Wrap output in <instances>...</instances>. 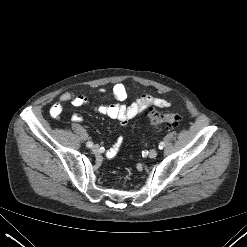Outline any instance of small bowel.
<instances>
[{"label":"small bowel","mask_w":247,"mask_h":247,"mask_svg":"<svg viewBox=\"0 0 247 247\" xmlns=\"http://www.w3.org/2000/svg\"><path fill=\"white\" fill-rule=\"evenodd\" d=\"M112 94L116 103L109 105L95 106L93 109L95 112L104 115L111 119H116L121 125H126L127 122L141 113H143L148 107L156 106L159 108H167L170 106V102L164 98L155 97L150 94L142 95L133 101L131 104L126 105L124 101L127 98V90L124 84L117 83L112 88ZM71 103L77 107L88 106V99L82 94L74 93H63L59 96L58 102L55 103L51 109L50 113L53 116H58L63 111L64 103ZM74 122H81L82 116L78 113H74L71 117ZM122 143V137H119L114 145L106 152V157L113 158Z\"/></svg>","instance_id":"c3829d8e"}]
</instances>
